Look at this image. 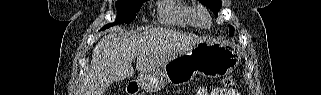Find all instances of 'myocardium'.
<instances>
[{"label":"myocardium","instance_id":"f54148a6","mask_svg":"<svg viewBox=\"0 0 321 95\" xmlns=\"http://www.w3.org/2000/svg\"><path fill=\"white\" fill-rule=\"evenodd\" d=\"M197 19L202 27H209L211 25L208 13L205 10L198 11Z\"/></svg>","mask_w":321,"mask_h":95}]
</instances>
